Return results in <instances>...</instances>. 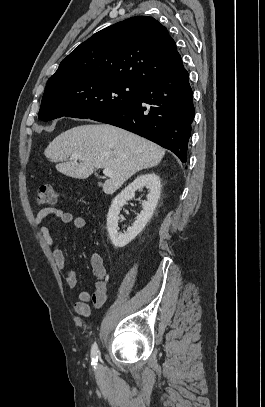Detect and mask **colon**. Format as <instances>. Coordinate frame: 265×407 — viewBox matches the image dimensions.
Returning a JSON list of instances; mask_svg holds the SVG:
<instances>
[{
    "label": "colon",
    "mask_w": 265,
    "mask_h": 407,
    "mask_svg": "<svg viewBox=\"0 0 265 407\" xmlns=\"http://www.w3.org/2000/svg\"><path fill=\"white\" fill-rule=\"evenodd\" d=\"M59 192L49 184H42L37 189V204L50 205L57 201Z\"/></svg>",
    "instance_id": "1"
}]
</instances>
